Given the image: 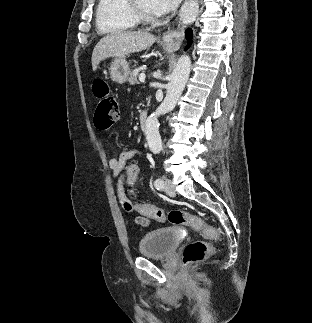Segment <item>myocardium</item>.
Segmentation results:
<instances>
[{"instance_id": "obj_1", "label": "myocardium", "mask_w": 312, "mask_h": 323, "mask_svg": "<svg viewBox=\"0 0 312 323\" xmlns=\"http://www.w3.org/2000/svg\"><path fill=\"white\" fill-rule=\"evenodd\" d=\"M131 2H134V0H131ZM129 8L131 10H135L136 14V19L139 21V23H146V21H149L150 19V13L149 12H144L143 8H137V5L135 3H131L129 5Z\"/></svg>"}]
</instances>
